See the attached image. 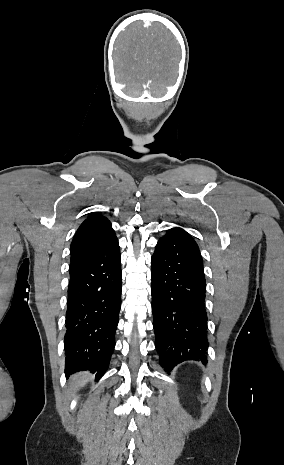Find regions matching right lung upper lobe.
I'll return each instance as SVG.
<instances>
[{
  "label": "right lung upper lobe",
  "mask_w": 284,
  "mask_h": 465,
  "mask_svg": "<svg viewBox=\"0 0 284 465\" xmlns=\"http://www.w3.org/2000/svg\"><path fill=\"white\" fill-rule=\"evenodd\" d=\"M115 237L107 218L99 213L88 216L78 228L71 243V262L96 252Z\"/></svg>",
  "instance_id": "1"
}]
</instances>
